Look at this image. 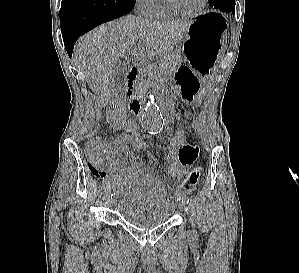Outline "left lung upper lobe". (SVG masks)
Instances as JSON below:
<instances>
[{
  "label": "left lung upper lobe",
  "instance_id": "5c2ea615",
  "mask_svg": "<svg viewBox=\"0 0 299 273\" xmlns=\"http://www.w3.org/2000/svg\"><path fill=\"white\" fill-rule=\"evenodd\" d=\"M218 0H208L210 6H213Z\"/></svg>",
  "mask_w": 299,
  "mask_h": 273
}]
</instances>
